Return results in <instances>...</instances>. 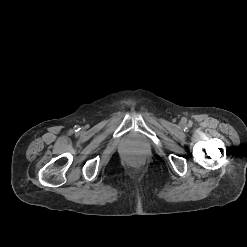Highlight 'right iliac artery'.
<instances>
[{
	"mask_svg": "<svg viewBox=\"0 0 247 247\" xmlns=\"http://www.w3.org/2000/svg\"><path fill=\"white\" fill-rule=\"evenodd\" d=\"M76 127H77V126H76ZM77 130H79V129H78V127L76 128V130H75V131H77Z\"/></svg>",
	"mask_w": 247,
	"mask_h": 247,
	"instance_id": "right-iliac-artery-1",
	"label": "right iliac artery"
}]
</instances>
